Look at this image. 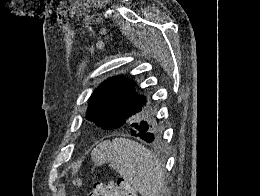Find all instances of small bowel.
<instances>
[{
    "label": "small bowel",
    "instance_id": "1",
    "mask_svg": "<svg viewBox=\"0 0 260 196\" xmlns=\"http://www.w3.org/2000/svg\"><path fill=\"white\" fill-rule=\"evenodd\" d=\"M94 193V195L93 196H100L98 193H96V192H93Z\"/></svg>",
    "mask_w": 260,
    "mask_h": 196
}]
</instances>
